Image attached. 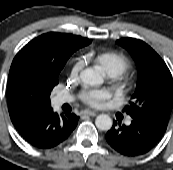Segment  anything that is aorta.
I'll return each mask as SVG.
<instances>
[{"instance_id":"obj_1","label":"aorta","mask_w":173,"mask_h":170,"mask_svg":"<svg viewBox=\"0 0 173 170\" xmlns=\"http://www.w3.org/2000/svg\"><path fill=\"white\" fill-rule=\"evenodd\" d=\"M81 81L88 86H98L102 84V76L93 69H84L80 72ZM113 121L110 116L106 114L98 115L95 119V125L99 130L108 131L111 129Z\"/></svg>"}]
</instances>
